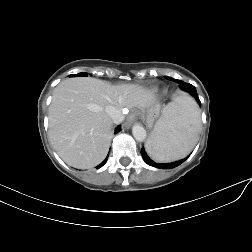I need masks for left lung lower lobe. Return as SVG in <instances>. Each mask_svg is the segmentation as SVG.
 <instances>
[{
    "mask_svg": "<svg viewBox=\"0 0 252 252\" xmlns=\"http://www.w3.org/2000/svg\"><path fill=\"white\" fill-rule=\"evenodd\" d=\"M178 82L180 84V88L191 93L195 97V99L198 101V103L200 104V100L198 98L196 88L193 85L185 83L183 81H178ZM141 154H142L144 161L148 165L156 167V168H160V169H171V168L177 167L187 159V158H185L180 161L173 162V163L158 164L149 158V156L146 154V152L144 150V147L141 149Z\"/></svg>",
    "mask_w": 252,
    "mask_h": 252,
    "instance_id": "1",
    "label": "left lung lower lobe"
}]
</instances>
